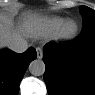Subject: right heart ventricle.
Returning <instances> with one entry per match:
<instances>
[{"label":"right heart ventricle","mask_w":95,"mask_h":95,"mask_svg":"<svg viewBox=\"0 0 95 95\" xmlns=\"http://www.w3.org/2000/svg\"><path fill=\"white\" fill-rule=\"evenodd\" d=\"M64 19L57 16L34 19L29 22V27L41 36L54 34L64 23Z\"/></svg>","instance_id":"right-heart-ventricle-1"}]
</instances>
